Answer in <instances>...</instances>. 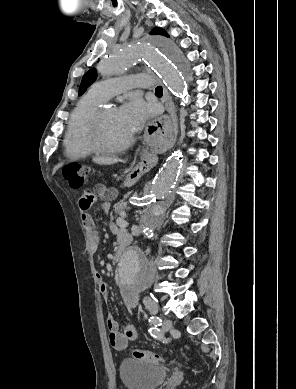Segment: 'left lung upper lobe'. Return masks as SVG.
Listing matches in <instances>:
<instances>
[{"label": "left lung upper lobe", "mask_w": 296, "mask_h": 389, "mask_svg": "<svg viewBox=\"0 0 296 389\" xmlns=\"http://www.w3.org/2000/svg\"><path fill=\"white\" fill-rule=\"evenodd\" d=\"M151 34L154 35H164L169 37V35L161 28H156L151 31ZM97 78V73L95 69L89 70L82 78L81 85L79 88V95L83 94L86 89L95 81Z\"/></svg>", "instance_id": "obj_1"}]
</instances>
